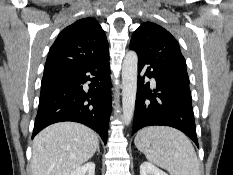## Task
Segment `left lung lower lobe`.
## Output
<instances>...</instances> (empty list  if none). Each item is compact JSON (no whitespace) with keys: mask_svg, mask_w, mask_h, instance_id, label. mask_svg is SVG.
Returning <instances> with one entry per match:
<instances>
[{"mask_svg":"<svg viewBox=\"0 0 233 175\" xmlns=\"http://www.w3.org/2000/svg\"><path fill=\"white\" fill-rule=\"evenodd\" d=\"M147 64L150 66L140 76ZM138 73L132 135L146 126H170L184 132L198 146L189 78L157 68L139 54ZM145 76L155 78L156 89L151 90L149 82L144 83Z\"/></svg>","mask_w":233,"mask_h":175,"instance_id":"1","label":"left lung lower lobe"}]
</instances>
